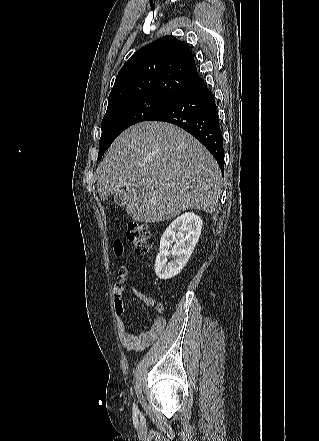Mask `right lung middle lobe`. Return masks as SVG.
I'll return each mask as SVG.
<instances>
[{
	"label": "right lung middle lobe",
	"instance_id": "obj_1",
	"mask_svg": "<svg viewBox=\"0 0 319 441\" xmlns=\"http://www.w3.org/2000/svg\"><path fill=\"white\" fill-rule=\"evenodd\" d=\"M172 100L155 96H144L118 103L107 108L103 117L102 134L99 142V160L115 138L125 129L138 122L146 121L161 111Z\"/></svg>",
	"mask_w": 319,
	"mask_h": 441
}]
</instances>
